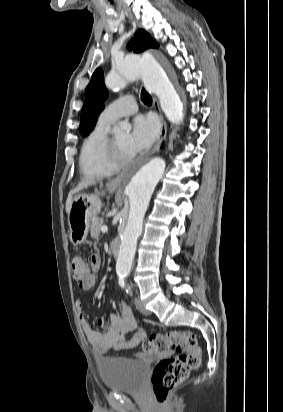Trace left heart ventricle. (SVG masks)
I'll list each match as a JSON object with an SVG mask.
<instances>
[{
    "mask_svg": "<svg viewBox=\"0 0 283 412\" xmlns=\"http://www.w3.org/2000/svg\"><path fill=\"white\" fill-rule=\"evenodd\" d=\"M115 140L124 156L134 155V152L130 148V134L121 133L116 135Z\"/></svg>",
    "mask_w": 283,
    "mask_h": 412,
    "instance_id": "1",
    "label": "left heart ventricle"
}]
</instances>
